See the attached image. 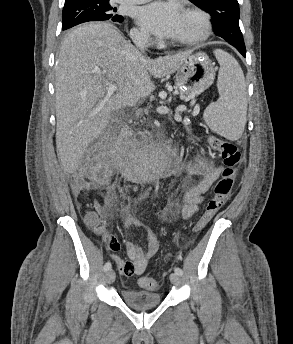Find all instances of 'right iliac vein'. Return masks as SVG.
Returning <instances> with one entry per match:
<instances>
[{
    "mask_svg": "<svg viewBox=\"0 0 293 344\" xmlns=\"http://www.w3.org/2000/svg\"><path fill=\"white\" fill-rule=\"evenodd\" d=\"M115 277H116V275H115L114 270L110 269V270L107 271V273H106V281H107L108 284H112L115 281Z\"/></svg>",
    "mask_w": 293,
    "mask_h": 344,
    "instance_id": "1",
    "label": "right iliac vein"
}]
</instances>
